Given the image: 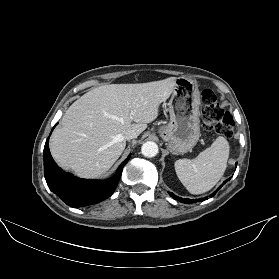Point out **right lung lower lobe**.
Instances as JSON below:
<instances>
[{
	"mask_svg": "<svg viewBox=\"0 0 279 279\" xmlns=\"http://www.w3.org/2000/svg\"><path fill=\"white\" fill-rule=\"evenodd\" d=\"M48 142L49 138L44 147V173L46 182L49 189L71 207L92 205L110 197L117 187L123 167L130 158L129 155L121 163L116 174L108 180L81 179L62 171L58 167L50 154Z\"/></svg>",
	"mask_w": 279,
	"mask_h": 279,
	"instance_id": "right-lung-lower-lobe-1",
	"label": "right lung lower lobe"
}]
</instances>
